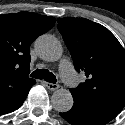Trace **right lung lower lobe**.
<instances>
[{
    "mask_svg": "<svg viewBox=\"0 0 125 125\" xmlns=\"http://www.w3.org/2000/svg\"><path fill=\"white\" fill-rule=\"evenodd\" d=\"M34 84H30L21 89L14 88L0 94V115L11 113L21 107L28 95L29 90Z\"/></svg>",
    "mask_w": 125,
    "mask_h": 125,
    "instance_id": "obj_1",
    "label": "right lung lower lobe"
}]
</instances>
